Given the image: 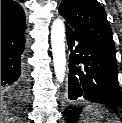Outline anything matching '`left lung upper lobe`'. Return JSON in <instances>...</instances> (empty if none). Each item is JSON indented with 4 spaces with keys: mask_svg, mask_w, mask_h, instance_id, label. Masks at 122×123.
<instances>
[{
    "mask_svg": "<svg viewBox=\"0 0 122 123\" xmlns=\"http://www.w3.org/2000/svg\"><path fill=\"white\" fill-rule=\"evenodd\" d=\"M59 13L67 27L115 50L105 10L96 0H62Z\"/></svg>",
    "mask_w": 122,
    "mask_h": 123,
    "instance_id": "5c2ea615",
    "label": "left lung upper lobe"
}]
</instances>
